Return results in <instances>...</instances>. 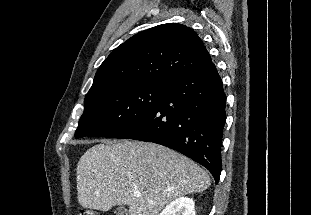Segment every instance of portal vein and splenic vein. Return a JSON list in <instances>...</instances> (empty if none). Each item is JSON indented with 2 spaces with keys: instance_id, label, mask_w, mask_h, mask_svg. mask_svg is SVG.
Listing matches in <instances>:
<instances>
[{
  "instance_id": "portal-vein-and-splenic-vein-1",
  "label": "portal vein and splenic vein",
  "mask_w": 311,
  "mask_h": 215,
  "mask_svg": "<svg viewBox=\"0 0 311 215\" xmlns=\"http://www.w3.org/2000/svg\"><path fill=\"white\" fill-rule=\"evenodd\" d=\"M140 194H141V193H140L139 191L134 192V196H136V197H139Z\"/></svg>"
}]
</instances>
